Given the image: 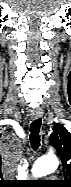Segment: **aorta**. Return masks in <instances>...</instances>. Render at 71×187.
<instances>
[{"instance_id":"aorta-1","label":"aorta","mask_w":71,"mask_h":187,"mask_svg":"<svg viewBox=\"0 0 71 187\" xmlns=\"http://www.w3.org/2000/svg\"><path fill=\"white\" fill-rule=\"evenodd\" d=\"M59 165L55 155H47L39 158L32 167L34 177H42L54 172Z\"/></svg>"}]
</instances>
